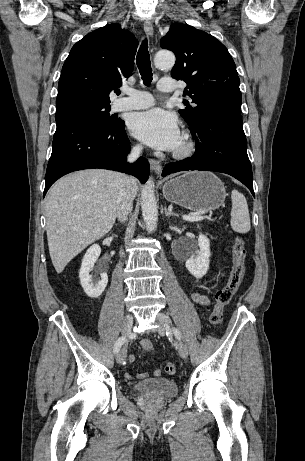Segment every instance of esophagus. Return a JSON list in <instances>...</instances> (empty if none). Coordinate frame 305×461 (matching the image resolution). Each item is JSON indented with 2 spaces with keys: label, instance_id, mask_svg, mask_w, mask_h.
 <instances>
[{
  "label": "esophagus",
  "instance_id": "1",
  "mask_svg": "<svg viewBox=\"0 0 305 461\" xmlns=\"http://www.w3.org/2000/svg\"><path fill=\"white\" fill-rule=\"evenodd\" d=\"M143 27H144V31L147 34V36L152 38L153 33H154L152 23L149 20H145L144 24H143ZM149 163H150L151 170L155 174L159 175L160 172H161V169H162L161 163L158 160H155V159H150Z\"/></svg>",
  "mask_w": 305,
  "mask_h": 461
}]
</instances>
